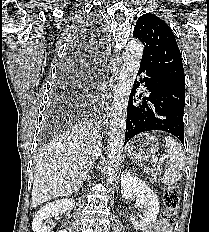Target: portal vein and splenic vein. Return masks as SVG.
<instances>
[{
	"label": "portal vein and splenic vein",
	"instance_id": "18ae733b",
	"mask_svg": "<svg viewBox=\"0 0 209 232\" xmlns=\"http://www.w3.org/2000/svg\"><path fill=\"white\" fill-rule=\"evenodd\" d=\"M165 159H166V157H162L160 159H158V158L155 157V158H153V163L157 164L159 162L161 164L162 161L165 160Z\"/></svg>",
	"mask_w": 209,
	"mask_h": 232
}]
</instances>
